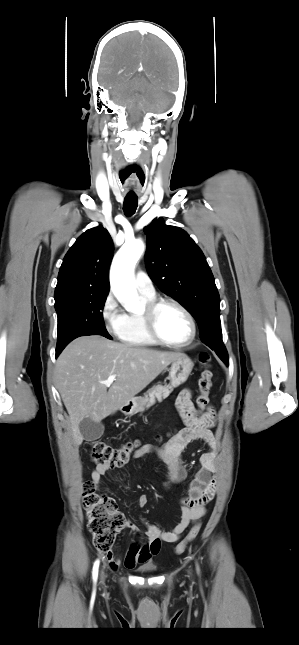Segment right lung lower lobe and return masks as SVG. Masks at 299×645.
Wrapping results in <instances>:
<instances>
[{"label":"right lung lower lobe","instance_id":"1","mask_svg":"<svg viewBox=\"0 0 299 645\" xmlns=\"http://www.w3.org/2000/svg\"><path fill=\"white\" fill-rule=\"evenodd\" d=\"M61 351H62V350H60V351H59V350H58V351H56V356H58V355L60 354V352H61Z\"/></svg>","mask_w":299,"mask_h":645}]
</instances>
